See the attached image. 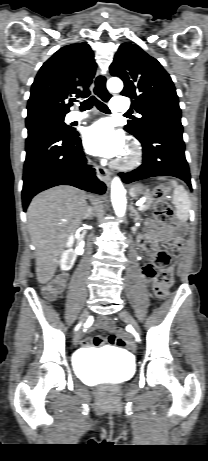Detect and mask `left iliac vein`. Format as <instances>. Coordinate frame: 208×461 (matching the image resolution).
I'll use <instances>...</instances> for the list:
<instances>
[{"instance_id": "obj_1", "label": "left iliac vein", "mask_w": 208, "mask_h": 461, "mask_svg": "<svg viewBox=\"0 0 208 461\" xmlns=\"http://www.w3.org/2000/svg\"><path fill=\"white\" fill-rule=\"evenodd\" d=\"M119 317L126 323H128L129 325L132 326V328L134 329V331L140 335L141 334V330H140V326L139 324L137 323V321L133 318V316L126 310H122L120 311L119 313Z\"/></svg>"}]
</instances>
